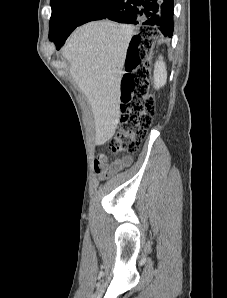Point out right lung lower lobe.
<instances>
[{"label":"right lung lower lobe","mask_w":227,"mask_h":298,"mask_svg":"<svg viewBox=\"0 0 227 298\" xmlns=\"http://www.w3.org/2000/svg\"><path fill=\"white\" fill-rule=\"evenodd\" d=\"M173 0H102L80 22V25L100 19L119 23L141 24L157 27L164 36L173 35ZM71 31L50 37L59 49Z\"/></svg>","instance_id":"obj_1"}]
</instances>
